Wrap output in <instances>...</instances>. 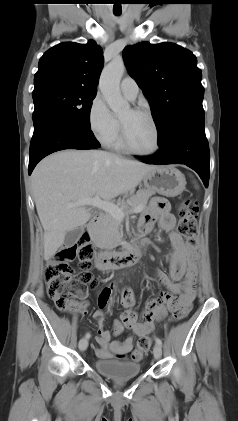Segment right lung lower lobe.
I'll return each instance as SVG.
<instances>
[{
  "label": "right lung lower lobe",
  "mask_w": 238,
  "mask_h": 421,
  "mask_svg": "<svg viewBox=\"0 0 238 421\" xmlns=\"http://www.w3.org/2000/svg\"><path fill=\"white\" fill-rule=\"evenodd\" d=\"M100 147L93 134H89L54 114H43L34 123L29 151V175L45 156L64 149H94Z\"/></svg>",
  "instance_id": "98d812e1"
}]
</instances>
